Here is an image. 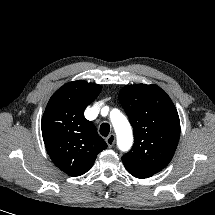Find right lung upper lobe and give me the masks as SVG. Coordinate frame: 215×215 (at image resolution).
Masks as SVG:
<instances>
[{"instance_id": "right-lung-upper-lobe-1", "label": "right lung upper lobe", "mask_w": 215, "mask_h": 215, "mask_svg": "<svg viewBox=\"0 0 215 215\" xmlns=\"http://www.w3.org/2000/svg\"><path fill=\"white\" fill-rule=\"evenodd\" d=\"M101 91L98 84L83 80L69 82L50 98L41 127L46 150L53 163L70 176H80L93 165L107 144L84 109Z\"/></svg>"}]
</instances>
